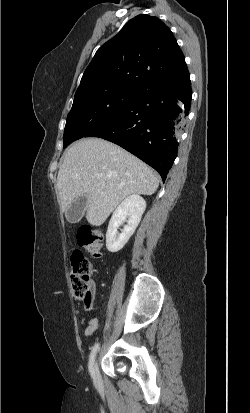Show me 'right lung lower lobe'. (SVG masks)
<instances>
[{
  "instance_id": "98d812e1",
  "label": "right lung lower lobe",
  "mask_w": 250,
  "mask_h": 413,
  "mask_svg": "<svg viewBox=\"0 0 250 413\" xmlns=\"http://www.w3.org/2000/svg\"><path fill=\"white\" fill-rule=\"evenodd\" d=\"M191 99L190 76L181 84L150 87L85 137H100L123 147L157 170L165 180L177 156L178 140Z\"/></svg>"
}]
</instances>
